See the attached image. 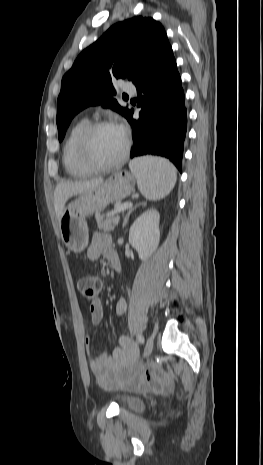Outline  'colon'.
I'll return each mask as SVG.
<instances>
[{"mask_svg": "<svg viewBox=\"0 0 263 465\" xmlns=\"http://www.w3.org/2000/svg\"><path fill=\"white\" fill-rule=\"evenodd\" d=\"M77 285L82 298L90 304L96 300L101 289V281L95 276H84Z\"/></svg>", "mask_w": 263, "mask_h": 465, "instance_id": "obj_1", "label": "colon"}]
</instances>
